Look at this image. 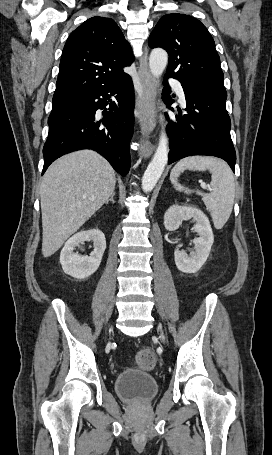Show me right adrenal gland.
<instances>
[{
	"instance_id": "2a0ac1e0",
	"label": "right adrenal gland",
	"mask_w": 272,
	"mask_h": 455,
	"mask_svg": "<svg viewBox=\"0 0 272 455\" xmlns=\"http://www.w3.org/2000/svg\"><path fill=\"white\" fill-rule=\"evenodd\" d=\"M114 195H115V192L110 196V198L106 201V204L109 203V201H111L113 204L115 203L114 201Z\"/></svg>"
}]
</instances>
